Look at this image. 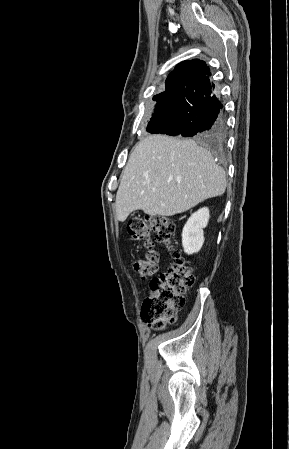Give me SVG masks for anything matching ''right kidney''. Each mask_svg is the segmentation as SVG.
<instances>
[{
    "label": "right kidney",
    "instance_id": "1",
    "mask_svg": "<svg viewBox=\"0 0 289 449\" xmlns=\"http://www.w3.org/2000/svg\"><path fill=\"white\" fill-rule=\"evenodd\" d=\"M209 218V209L204 207L193 213L187 220L182 231V246L185 253H197L202 248L203 229L207 226Z\"/></svg>",
    "mask_w": 289,
    "mask_h": 449
}]
</instances>
